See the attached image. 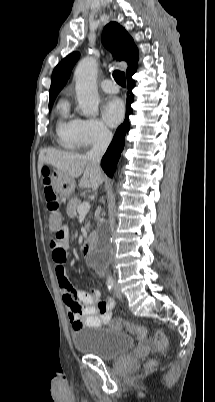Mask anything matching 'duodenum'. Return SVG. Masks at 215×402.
<instances>
[{"instance_id":"duodenum-1","label":"duodenum","mask_w":215,"mask_h":402,"mask_svg":"<svg viewBox=\"0 0 215 402\" xmlns=\"http://www.w3.org/2000/svg\"><path fill=\"white\" fill-rule=\"evenodd\" d=\"M94 248H95V240L92 237H90L84 241V243L82 245V253L85 256H90L92 254ZM98 269L100 271L102 270L101 267H98Z\"/></svg>"}]
</instances>
